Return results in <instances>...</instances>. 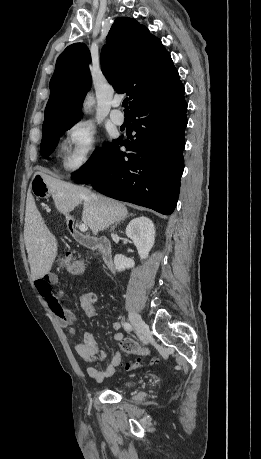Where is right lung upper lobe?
<instances>
[{"mask_svg":"<svg viewBox=\"0 0 261 459\" xmlns=\"http://www.w3.org/2000/svg\"><path fill=\"white\" fill-rule=\"evenodd\" d=\"M84 44L68 46L58 57L50 81L43 129L78 122L92 78ZM101 69L116 92L129 95L130 110L158 98L180 83L179 74L161 40L130 18H117L101 52Z\"/></svg>","mask_w":261,"mask_h":459,"instance_id":"cb5924a9","label":"right lung upper lobe"}]
</instances>
